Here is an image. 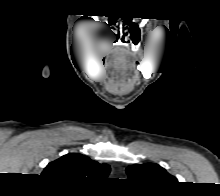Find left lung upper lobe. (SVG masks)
Returning a JSON list of instances; mask_svg holds the SVG:
<instances>
[{"label":"left lung upper lobe","instance_id":"5c2ea615","mask_svg":"<svg viewBox=\"0 0 220 196\" xmlns=\"http://www.w3.org/2000/svg\"><path fill=\"white\" fill-rule=\"evenodd\" d=\"M130 180L149 186H171L177 179L157 164L132 165L126 169Z\"/></svg>","mask_w":220,"mask_h":196}]
</instances>
